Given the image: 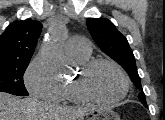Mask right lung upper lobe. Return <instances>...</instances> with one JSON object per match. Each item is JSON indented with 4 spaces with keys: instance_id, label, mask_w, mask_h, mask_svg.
Listing matches in <instances>:
<instances>
[{
    "instance_id": "cb5924a9",
    "label": "right lung upper lobe",
    "mask_w": 165,
    "mask_h": 120,
    "mask_svg": "<svg viewBox=\"0 0 165 120\" xmlns=\"http://www.w3.org/2000/svg\"><path fill=\"white\" fill-rule=\"evenodd\" d=\"M42 24L28 19L12 22L0 35V59H31Z\"/></svg>"
}]
</instances>
